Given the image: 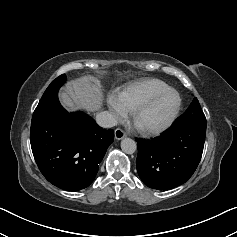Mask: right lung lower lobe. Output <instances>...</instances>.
<instances>
[{
	"label": "right lung lower lobe",
	"mask_w": 237,
	"mask_h": 237,
	"mask_svg": "<svg viewBox=\"0 0 237 237\" xmlns=\"http://www.w3.org/2000/svg\"><path fill=\"white\" fill-rule=\"evenodd\" d=\"M61 75L48 86L36 107L30 131L39 170L53 185L68 191L86 188L94 180L113 130L99 127L84 113H68L59 103Z\"/></svg>",
	"instance_id": "obj_1"
}]
</instances>
